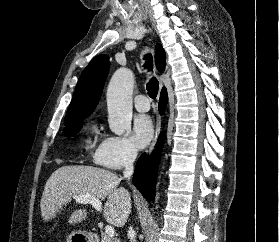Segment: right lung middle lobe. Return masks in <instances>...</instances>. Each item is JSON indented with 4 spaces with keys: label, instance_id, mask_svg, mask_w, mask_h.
<instances>
[{
    "label": "right lung middle lobe",
    "instance_id": "right-lung-middle-lobe-1",
    "mask_svg": "<svg viewBox=\"0 0 279 242\" xmlns=\"http://www.w3.org/2000/svg\"><path fill=\"white\" fill-rule=\"evenodd\" d=\"M81 127H82V121L78 122V123L65 125V128L63 130V134L66 137L74 136L77 132H79Z\"/></svg>",
    "mask_w": 279,
    "mask_h": 242
}]
</instances>
